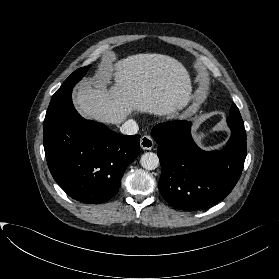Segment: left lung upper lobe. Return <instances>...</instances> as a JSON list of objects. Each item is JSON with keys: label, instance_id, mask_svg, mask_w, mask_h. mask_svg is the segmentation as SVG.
Listing matches in <instances>:
<instances>
[{"label": "left lung upper lobe", "instance_id": "5c2ea615", "mask_svg": "<svg viewBox=\"0 0 279 279\" xmlns=\"http://www.w3.org/2000/svg\"><path fill=\"white\" fill-rule=\"evenodd\" d=\"M228 124H233L238 127H244V123L237 106L233 103L229 112Z\"/></svg>", "mask_w": 279, "mask_h": 279}]
</instances>
